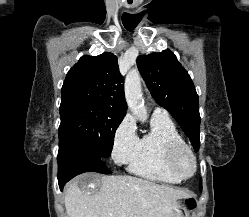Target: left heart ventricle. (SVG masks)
<instances>
[{
	"label": "left heart ventricle",
	"mask_w": 249,
	"mask_h": 217,
	"mask_svg": "<svg viewBox=\"0 0 249 217\" xmlns=\"http://www.w3.org/2000/svg\"><path fill=\"white\" fill-rule=\"evenodd\" d=\"M180 168L183 170V171H189L190 168H191V160L188 156H183L180 160Z\"/></svg>",
	"instance_id": "left-heart-ventricle-1"
}]
</instances>
